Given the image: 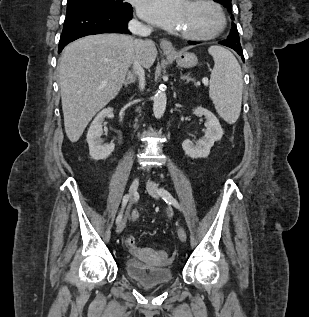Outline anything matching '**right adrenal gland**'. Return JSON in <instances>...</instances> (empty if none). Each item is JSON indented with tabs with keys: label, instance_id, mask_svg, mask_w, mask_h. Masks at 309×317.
Instances as JSON below:
<instances>
[{
	"label": "right adrenal gland",
	"instance_id": "obj_1",
	"mask_svg": "<svg viewBox=\"0 0 309 317\" xmlns=\"http://www.w3.org/2000/svg\"><path fill=\"white\" fill-rule=\"evenodd\" d=\"M136 81V75L132 71H128L127 78L124 80L123 84L127 87L129 84H133Z\"/></svg>",
	"mask_w": 309,
	"mask_h": 317
}]
</instances>
